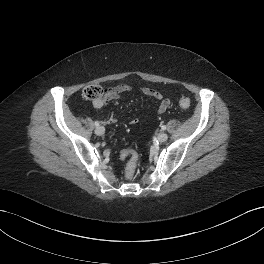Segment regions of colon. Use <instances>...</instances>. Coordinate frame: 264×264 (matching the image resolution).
Returning a JSON list of instances; mask_svg holds the SVG:
<instances>
[{
  "mask_svg": "<svg viewBox=\"0 0 264 264\" xmlns=\"http://www.w3.org/2000/svg\"><path fill=\"white\" fill-rule=\"evenodd\" d=\"M104 93L105 91L102 87L98 85H90L84 88L83 97L87 100L95 101L101 99L104 96ZM179 105L182 108L186 109L190 107L191 101L187 97H182L179 100ZM120 156L121 158H125L128 160L126 166V177L129 179L133 178L138 164V153L133 149H126L120 153Z\"/></svg>",
  "mask_w": 264,
  "mask_h": 264,
  "instance_id": "colon-1",
  "label": "colon"
}]
</instances>
